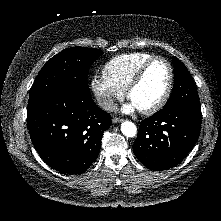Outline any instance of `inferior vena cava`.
<instances>
[{
  "mask_svg": "<svg viewBox=\"0 0 221 221\" xmlns=\"http://www.w3.org/2000/svg\"><path fill=\"white\" fill-rule=\"evenodd\" d=\"M97 104L105 111H115L117 108L114 99L109 96H100L97 98Z\"/></svg>",
  "mask_w": 221,
  "mask_h": 221,
  "instance_id": "obj_1",
  "label": "inferior vena cava"
}]
</instances>
